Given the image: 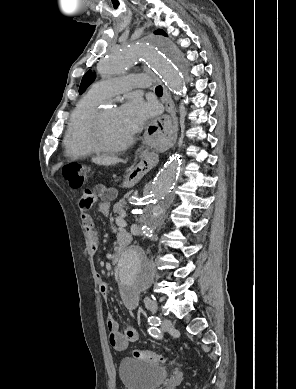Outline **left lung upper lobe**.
Instances as JSON below:
<instances>
[{"mask_svg":"<svg viewBox=\"0 0 296 389\" xmlns=\"http://www.w3.org/2000/svg\"><path fill=\"white\" fill-rule=\"evenodd\" d=\"M155 34H162L164 36H167L163 30H158L155 32ZM96 77L95 72H92V70H89L82 78L80 88H79V93L82 94L86 88L94 81Z\"/></svg>","mask_w":296,"mask_h":389,"instance_id":"obj_1","label":"left lung upper lobe"}]
</instances>
